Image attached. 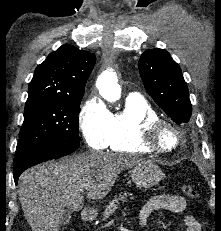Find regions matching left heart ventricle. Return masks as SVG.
<instances>
[{
    "mask_svg": "<svg viewBox=\"0 0 221 231\" xmlns=\"http://www.w3.org/2000/svg\"><path fill=\"white\" fill-rule=\"evenodd\" d=\"M160 141L163 146H170L174 141V135L169 130H165L160 136Z\"/></svg>",
    "mask_w": 221,
    "mask_h": 231,
    "instance_id": "1",
    "label": "left heart ventricle"
}]
</instances>
